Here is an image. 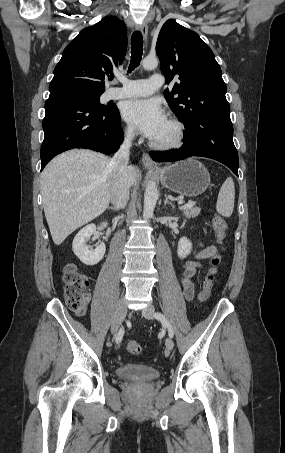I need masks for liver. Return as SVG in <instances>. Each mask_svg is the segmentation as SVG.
I'll use <instances>...</instances> for the list:
<instances>
[{
	"instance_id": "6515ba94",
	"label": "liver",
	"mask_w": 285,
	"mask_h": 453,
	"mask_svg": "<svg viewBox=\"0 0 285 453\" xmlns=\"http://www.w3.org/2000/svg\"><path fill=\"white\" fill-rule=\"evenodd\" d=\"M109 163L103 154L74 149L55 157L41 173L44 213L56 245L108 208L113 175ZM128 176L134 184L138 170L130 166Z\"/></svg>"
}]
</instances>
